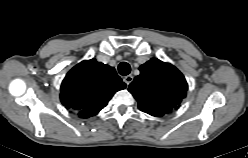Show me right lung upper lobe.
Listing matches in <instances>:
<instances>
[{"instance_id": "right-lung-upper-lobe-1", "label": "right lung upper lobe", "mask_w": 248, "mask_h": 158, "mask_svg": "<svg viewBox=\"0 0 248 158\" xmlns=\"http://www.w3.org/2000/svg\"><path fill=\"white\" fill-rule=\"evenodd\" d=\"M115 69L95 59L85 60L73 67L61 84V102L81 118L96 115L115 92L124 89Z\"/></svg>"}]
</instances>
